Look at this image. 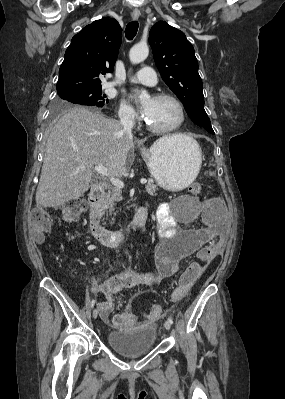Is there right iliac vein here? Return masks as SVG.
<instances>
[{
    "label": "right iliac vein",
    "mask_w": 285,
    "mask_h": 399,
    "mask_svg": "<svg viewBox=\"0 0 285 399\" xmlns=\"http://www.w3.org/2000/svg\"><path fill=\"white\" fill-rule=\"evenodd\" d=\"M92 316H93L94 319L97 318V316H98V309H97V308H95V309L93 310Z\"/></svg>",
    "instance_id": "right-iliac-vein-1"
}]
</instances>
